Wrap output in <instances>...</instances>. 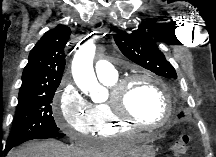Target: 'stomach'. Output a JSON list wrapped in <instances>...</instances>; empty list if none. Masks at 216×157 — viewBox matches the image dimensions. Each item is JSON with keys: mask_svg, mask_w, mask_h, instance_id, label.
Wrapping results in <instances>:
<instances>
[{"mask_svg": "<svg viewBox=\"0 0 216 157\" xmlns=\"http://www.w3.org/2000/svg\"><path fill=\"white\" fill-rule=\"evenodd\" d=\"M137 157H155V150L152 146H145Z\"/></svg>", "mask_w": 216, "mask_h": 157, "instance_id": "0dacf381", "label": "stomach"}]
</instances>
